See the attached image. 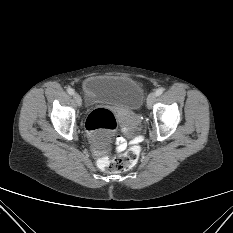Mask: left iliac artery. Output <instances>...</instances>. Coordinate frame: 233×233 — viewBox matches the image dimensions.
I'll return each instance as SVG.
<instances>
[{"mask_svg": "<svg viewBox=\"0 0 233 233\" xmlns=\"http://www.w3.org/2000/svg\"><path fill=\"white\" fill-rule=\"evenodd\" d=\"M164 89L163 88H159L156 90V95L160 96L163 93Z\"/></svg>", "mask_w": 233, "mask_h": 233, "instance_id": "left-iliac-artery-1", "label": "left iliac artery"}]
</instances>
